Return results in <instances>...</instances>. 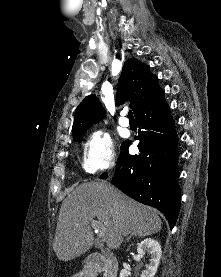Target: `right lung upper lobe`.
<instances>
[{
	"label": "right lung upper lobe",
	"instance_id": "right-lung-upper-lobe-1",
	"mask_svg": "<svg viewBox=\"0 0 221 277\" xmlns=\"http://www.w3.org/2000/svg\"><path fill=\"white\" fill-rule=\"evenodd\" d=\"M161 88L149 67L135 58L129 59L118 82L116 102L123 104L130 101V108L136 115L145 105L152 101ZM105 115L104 108L96 96H87L77 107L72 127L73 135L87 130Z\"/></svg>",
	"mask_w": 221,
	"mask_h": 277
}]
</instances>
